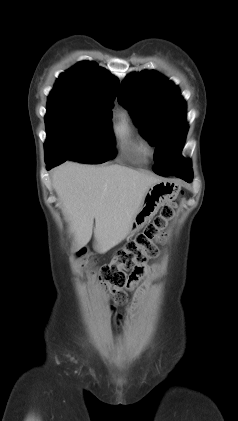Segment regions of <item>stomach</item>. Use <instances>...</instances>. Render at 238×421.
Instances as JSON below:
<instances>
[{"mask_svg": "<svg viewBox=\"0 0 238 421\" xmlns=\"http://www.w3.org/2000/svg\"><path fill=\"white\" fill-rule=\"evenodd\" d=\"M178 193L177 185L169 181L152 184L146 191L141 205L135 214L127 238L132 237L150 220L161 206L168 203Z\"/></svg>", "mask_w": 238, "mask_h": 421, "instance_id": "0dacf381", "label": "stomach"}]
</instances>
